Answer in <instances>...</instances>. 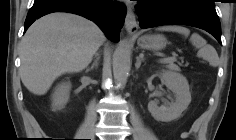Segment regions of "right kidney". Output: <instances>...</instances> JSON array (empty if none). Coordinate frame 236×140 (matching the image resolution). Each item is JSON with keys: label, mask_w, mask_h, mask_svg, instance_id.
Listing matches in <instances>:
<instances>
[{"label": "right kidney", "mask_w": 236, "mask_h": 140, "mask_svg": "<svg viewBox=\"0 0 236 140\" xmlns=\"http://www.w3.org/2000/svg\"><path fill=\"white\" fill-rule=\"evenodd\" d=\"M70 89H71L70 82L62 83L56 87L52 95L53 110H58L67 104L69 100Z\"/></svg>", "instance_id": "obj_1"}]
</instances>
